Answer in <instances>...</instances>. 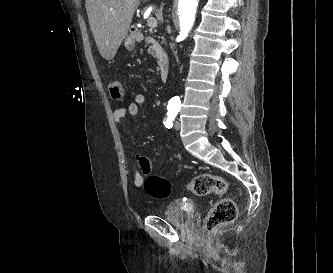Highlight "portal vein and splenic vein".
Here are the masks:
<instances>
[{
  "label": "portal vein and splenic vein",
  "mask_w": 333,
  "mask_h": 273,
  "mask_svg": "<svg viewBox=\"0 0 333 273\" xmlns=\"http://www.w3.org/2000/svg\"><path fill=\"white\" fill-rule=\"evenodd\" d=\"M147 25L152 28L157 27V20L154 17H149L147 19Z\"/></svg>",
  "instance_id": "portal-vein-and-splenic-vein-1"
}]
</instances>
